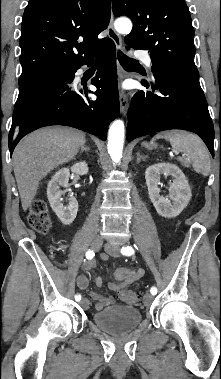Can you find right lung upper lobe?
Listing matches in <instances>:
<instances>
[{
  "label": "right lung upper lobe",
  "instance_id": "cb5924a9",
  "mask_svg": "<svg viewBox=\"0 0 221 379\" xmlns=\"http://www.w3.org/2000/svg\"><path fill=\"white\" fill-rule=\"evenodd\" d=\"M110 14L111 0H29L22 20L19 82L96 56L109 41L97 36L107 28Z\"/></svg>",
  "mask_w": 221,
  "mask_h": 379
}]
</instances>
